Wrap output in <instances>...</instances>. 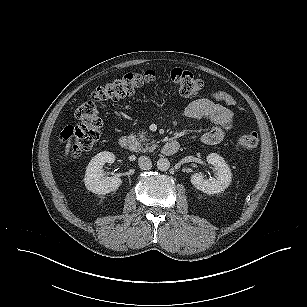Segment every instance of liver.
<instances>
[{"mask_svg": "<svg viewBox=\"0 0 307 307\" xmlns=\"http://www.w3.org/2000/svg\"><path fill=\"white\" fill-rule=\"evenodd\" d=\"M70 140L67 142V144H66V148H65V154L66 155H68V153H69V149H70V146H71V144H70Z\"/></svg>", "mask_w": 307, "mask_h": 307, "instance_id": "1", "label": "liver"}]
</instances>
